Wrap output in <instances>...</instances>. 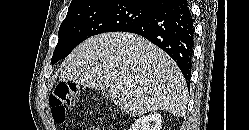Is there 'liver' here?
I'll return each instance as SVG.
<instances>
[{"label": "liver", "mask_w": 249, "mask_h": 130, "mask_svg": "<svg viewBox=\"0 0 249 130\" xmlns=\"http://www.w3.org/2000/svg\"><path fill=\"white\" fill-rule=\"evenodd\" d=\"M60 80L96 90L110 88L113 102L132 115L186 112L188 91L177 64L135 34L113 32L88 38L67 57Z\"/></svg>", "instance_id": "obj_1"}]
</instances>
